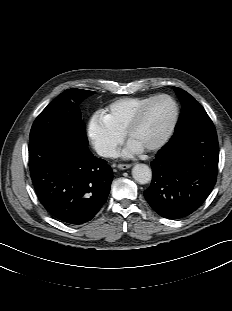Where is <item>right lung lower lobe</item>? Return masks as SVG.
I'll return each instance as SVG.
<instances>
[{
  "mask_svg": "<svg viewBox=\"0 0 232 311\" xmlns=\"http://www.w3.org/2000/svg\"><path fill=\"white\" fill-rule=\"evenodd\" d=\"M29 168L37 197L56 219L80 225L93 219L107 200L112 169L87 144L67 132L29 141Z\"/></svg>",
  "mask_w": 232,
  "mask_h": 311,
  "instance_id": "98d812e1",
  "label": "right lung lower lobe"
}]
</instances>
